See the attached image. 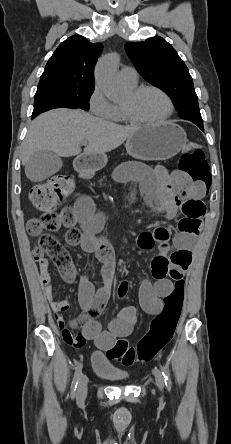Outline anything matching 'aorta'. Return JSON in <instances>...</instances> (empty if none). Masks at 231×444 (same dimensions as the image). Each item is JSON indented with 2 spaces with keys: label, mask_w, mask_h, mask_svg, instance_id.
<instances>
[{
  "label": "aorta",
  "mask_w": 231,
  "mask_h": 444,
  "mask_svg": "<svg viewBox=\"0 0 231 444\" xmlns=\"http://www.w3.org/2000/svg\"><path fill=\"white\" fill-rule=\"evenodd\" d=\"M118 63L119 56L112 53L100 59L96 66V83L112 101L119 99L123 94V87L117 77Z\"/></svg>",
  "instance_id": "1"
}]
</instances>
